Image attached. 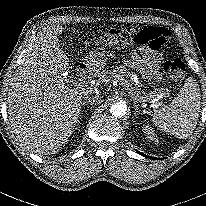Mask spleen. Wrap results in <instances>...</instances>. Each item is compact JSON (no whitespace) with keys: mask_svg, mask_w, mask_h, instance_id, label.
Returning a JSON list of instances; mask_svg holds the SVG:
<instances>
[{"mask_svg":"<svg viewBox=\"0 0 206 206\" xmlns=\"http://www.w3.org/2000/svg\"><path fill=\"white\" fill-rule=\"evenodd\" d=\"M200 88L193 77H188L169 107L154 113L153 124L161 131L178 138H187L196 128L200 113Z\"/></svg>","mask_w":206,"mask_h":206,"instance_id":"1","label":"spleen"}]
</instances>
